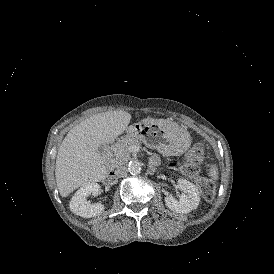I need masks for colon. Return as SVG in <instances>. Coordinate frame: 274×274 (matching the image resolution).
Masks as SVG:
<instances>
[{
  "label": "colon",
  "instance_id": "colon-1",
  "mask_svg": "<svg viewBox=\"0 0 274 274\" xmlns=\"http://www.w3.org/2000/svg\"><path fill=\"white\" fill-rule=\"evenodd\" d=\"M205 157V147L202 143H195L189 151L186 153V159L184 162L178 164V168L184 174L191 177H198L200 169L199 162ZM201 189L205 199L211 200L214 197L213 183L209 178L200 180Z\"/></svg>",
  "mask_w": 274,
  "mask_h": 274
}]
</instances>
